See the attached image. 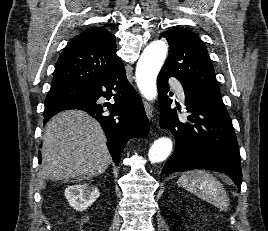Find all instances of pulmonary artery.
Wrapping results in <instances>:
<instances>
[{"label": "pulmonary artery", "instance_id": "1", "mask_svg": "<svg viewBox=\"0 0 268 231\" xmlns=\"http://www.w3.org/2000/svg\"><path fill=\"white\" fill-rule=\"evenodd\" d=\"M172 86H173V89H174L176 95L178 96V98L180 100L184 101L185 100V93H184L183 87L178 83H173Z\"/></svg>", "mask_w": 268, "mask_h": 231}]
</instances>
